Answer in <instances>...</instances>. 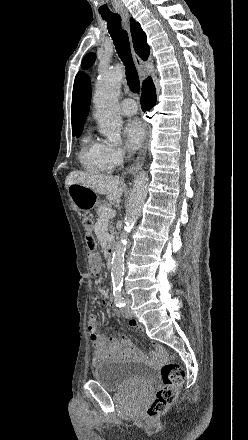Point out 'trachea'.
Here are the masks:
<instances>
[{
  "label": "trachea",
  "mask_w": 248,
  "mask_h": 440,
  "mask_svg": "<svg viewBox=\"0 0 248 440\" xmlns=\"http://www.w3.org/2000/svg\"><path fill=\"white\" fill-rule=\"evenodd\" d=\"M102 18L107 21V28L117 54L125 65L127 84L133 93H139V76L132 59L127 31L121 27V17L119 14H108L102 15Z\"/></svg>",
  "instance_id": "trachea-1"
}]
</instances>
